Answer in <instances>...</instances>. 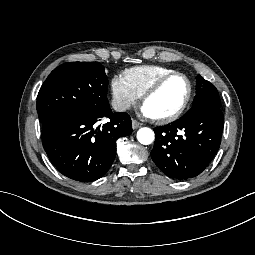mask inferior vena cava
Returning <instances> with one entry per match:
<instances>
[{
    "label": "inferior vena cava",
    "mask_w": 255,
    "mask_h": 255,
    "mask_svg": "<svg viewBox=\"0 0 255 255\" xmlns=\"http://www.w3.org/2000/svg\"><path fill=\"white\" fill-rule=\"evenodd\" d=\"M130 106H131V102L124 97L115 96L112 99V107L116 111H119V112L125 111L129 109Z\"/></svg>",
    "instance_id": "inferior-vena-cava-1"
}]
</instances>
